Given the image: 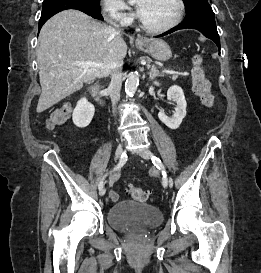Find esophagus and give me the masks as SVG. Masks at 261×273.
Here are the masks:
<instances>
[{"instance_id": "esophagus-1", "label": "esophagus", "mask_w": 261, "mask_h": 273, "mask_svg": "<svg viewBox=\"0 0 261 273\" xmlns=\"http://www.w3.org/2000/svg\"><path fill=\"white\" fill-rule=\"evenodd\" d=\"M138 42H141L142 41V36L141 35H137V39H136Z\"/></svg>"}]
</instances>
